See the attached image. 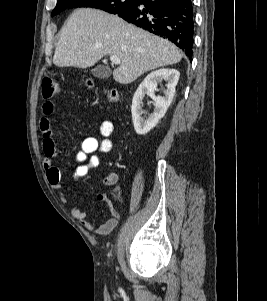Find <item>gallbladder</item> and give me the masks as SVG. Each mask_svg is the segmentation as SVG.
Listing matches in <instances>:
<instances>
[{
    "label": "gallbladder",
    "mask_w": 267,
    "mask_h": 301,
    "mask_svg": "<svg viewBox=\"0 0 267 301\" xmlns=\"http://www.w3.org/2000/svg\"><path fill=\"white\" fill-rule=\"evenodd\" d=\"M91 73L98 79H107L111 75V70L104 65H98L91 70Z\"/></svg>",
    "instance_id": "gallbladder-1"
}]
</instances>
